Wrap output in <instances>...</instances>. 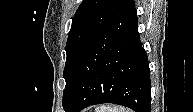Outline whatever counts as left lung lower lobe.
<instances>
[{
  "label": "left lung lower lobe",
  "mask_w": 193,
  "mask_h": 112,
  "mask_svg": "<svg viewBox=\"0 0 193 112\" xmlns=\"http://www.w3.org/2000/svg\"><path fill=\"white\" fill-rule=\"evenodd\" d=\"M137 24L132 0L79 60L64 92L65 112L100 103L151 112L150 69Z\"/></svg>",
  "instance_id": "left-lung-lower-lobe-1"
}]
</instances>
